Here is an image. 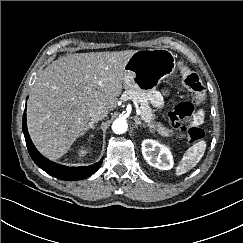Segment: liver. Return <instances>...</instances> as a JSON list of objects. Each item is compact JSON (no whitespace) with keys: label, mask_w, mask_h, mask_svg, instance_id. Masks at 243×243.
I'll return each instance as SVG.
<instances>
[{"label":"liver","mask_w":243,"mask_h":243,"mask_svg":"<svg viewBox=\"0 0 243 243\" xmlns=\"http://www.w3.org/2000/svg\"><path fill=\"white\" fill-rule=\"evenodd\" d=\"M135 52L70 54L38 74L27 103V126L42 154L59 159L87 131L90 109L116 108L125 65Z\"/></svg>","instance_id":"liver-1"}]
</instances>
